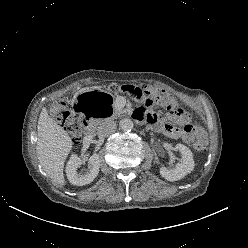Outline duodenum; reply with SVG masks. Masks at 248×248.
Returning <instances> with one entry per match:
<instances>
[{"instance_id": "410a0bca", "label": "duodenum", "mask_w": 248, "mask_h": 248, "mask_svg": "<svg viewBox=\"0 0 248 248\" xmlns=\"http://www.w3.org/2000/svg\"><path fill=\"white\" fill-rule=\"evenodd\" d=\"M84 127L86 130V135L88 137H91L93 135V132H94V126H93V122L91 121L90 118L84 119Z\"/></svg>"}]
</instances>
